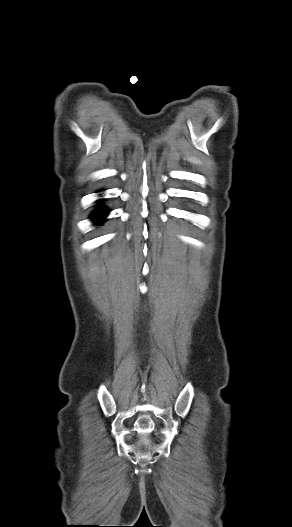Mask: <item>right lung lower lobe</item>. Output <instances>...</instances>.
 Here are the masks:
<instances>
[{"label": "right lung lower lobe", "instance_id": "obj_1", "mask_svg": "<svg viewBox=\"0 0 292 527\" xmlns=\"http://www.w3.org/2000/svg\"><path fill=\"white\" fill-rule=\"evenodd\" d=\"M108 210L105 209V208H98L95 210V212L91 215V218L96 221V223H100L103 221V219L106 217V215L108 214Z\"/></svg>", "mask_w": 292, "mask_h": 527}]
</instances>
